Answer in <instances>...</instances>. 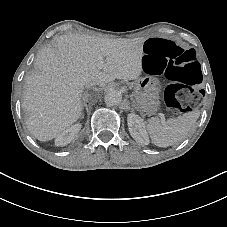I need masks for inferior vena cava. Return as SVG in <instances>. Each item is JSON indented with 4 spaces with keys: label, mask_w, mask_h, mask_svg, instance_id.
<instances>
[{
    "label": "inferior vena cava",
    "mask_w": 227,
    "mask_h": 227,
    "mask_svg": "<svg viewBox=\"0 0 227 227\" xmlns=\"http://www.w3.org/2000/svg\"><path fill=\"white\" fill-rule=\"evenodd\" d=\"M90 85L93 86V83L91 82Z\"/></svg>",
    "instance_id": "inferior-vena-cava-1"
}]
</instances>
